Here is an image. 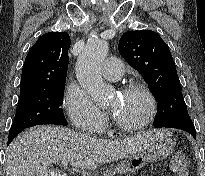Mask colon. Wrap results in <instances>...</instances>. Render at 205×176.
Returning <instances> with one entry per match:
<instances>
[{"label":"colon","instance_id":"5ec220e1","mask_svg":"<svg viewBox=\"0 0 205 176\" xmlns=\"http://www.w3.org/2000/svg\"><path fill=\"white\" fill-rule=\"evenodd\" d=\"M170 166L178 176H187L188 172V159L183 152H175L170 159Z\"/></svg>","mask_w":205,"mask_h":176}]
</instances>
